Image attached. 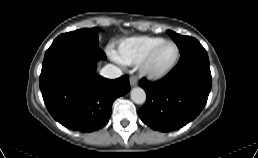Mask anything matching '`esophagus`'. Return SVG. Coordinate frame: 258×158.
I'll use <instances>...</instances> for the list:
<instances>
[{
	"label": "esophagus",
	"mask_w": 258,
	"mask_h": 158,
	"mask_svg": "<svg viewBox=\"0 0 258 158\" xmlns=\"http://www.w3.org/2000/svg\"><path fill=\"white\" fill-rule=\"evenodd\" d=\"M129 82L131 86H136L138 84V77L137 76H131L129 78Z\"/></svg>",
	"instance_id": "1"
}]
</instances>
